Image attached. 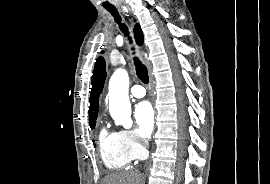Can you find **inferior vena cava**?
Here are the masks:
<instances>
[{"mask_svg":"<svg viewBox=\"0 0 270 184\" xmlns=\"http://www.w3.org/2000/svg\"><path fill=\"white\" fill-rule=\"evenodd\" d=\"M145 144L148 146V142L147 141H145Z\"/></svg>","mask_w":270,"mask_h":184,"instance_id":"obj_1","label":"inferior vena cava"}]
</instances>
